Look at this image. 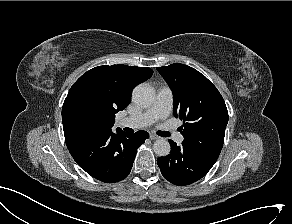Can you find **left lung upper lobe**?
I'll use <instances>...</instances> for the list:
<instances>
[{"instance_id": "obj_1", "label": "left lung upper lobe", "mask_w": 292, "mask_h": 224, "mask_svg": "<svg viewBox=\"0 0 292 224\" xmlns=\"http://www.w3.org/2000/svg\"><path fill=\"white\" fill-rule=\"evenodd\" d=\"M157 71L173 92L174 116L183 120L182 144L217 160L228 122L219 91L204 75L184 64L157 67Z\"/></svg>"}]
</instances>
